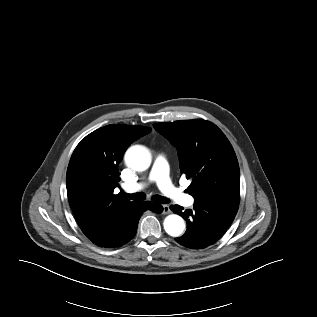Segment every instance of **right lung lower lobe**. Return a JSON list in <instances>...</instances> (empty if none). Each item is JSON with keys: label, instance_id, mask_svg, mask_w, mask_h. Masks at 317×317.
<instances>
[{"label": "right lung lower lobe", "instance_id": "1", "mask_svg": "<svg viewBox=\"0 0 317 317\" xmlns=\"http://www.w3.org/2000/svg\"><path fill=\"white\" fill-rule=\"evenodd\" d=\"M146 210L161 213L163 207L153 202L140 201L132 203L111 218L92 212L77 221L82 232L95 245L116 248L134 238L138 221Z\"/></svg>", "mask_w": 317, "mask_h": 317}]
</instances>
